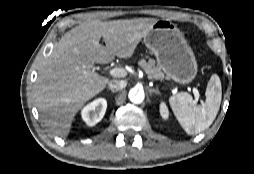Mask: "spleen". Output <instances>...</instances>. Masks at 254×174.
Wrapping results in <instances>:
<instances>
[{
	"label": "spleen",
	"instance_id": "obj_1",
	"mask_svg": "<svg viewBox=\"0 0 254 174\" xmlns=\"http://www.w3.org/2000/svg\"><path fill=\"white\" fill-rule=\"evenodd\" d=\"M205 103L197 106L186 92H180L169 99L170 106L182 128L189 135L208 129L215 120L222 99L221 82L213 75L208 83Z\"/></svg>",
	"mask_w": 254,
	"mask_h": 174
}]
</instances>
